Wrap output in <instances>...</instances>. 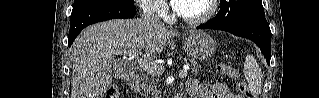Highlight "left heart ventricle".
Returning a JSON list of instances; mask_svg holds the SVG:
<instances>
[{
    "mask_svg": "<svg viewBox=\"0 0 319 98\" xmlns=\"http://www.w3.org/2000/svg\"><path fill=\"white\" fill-rule=\"evenodd\" d=\"M207 7V0H188L183 3L178 11L186 17L194 18L206 12Z\"/></svg>",
    "mask_w": 319,
    "mask_h": 98,
    "instance_id": "1",
    "label": "left heart ventricle"
}]
</instances>
